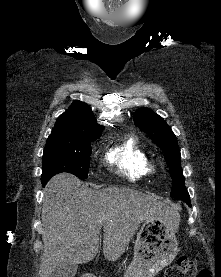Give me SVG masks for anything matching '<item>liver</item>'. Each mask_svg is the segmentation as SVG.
<instances>
[{"label": "liver", "mask_w": 221, "mask_h": 277, "mask_svg": "<svg viewBox=\"0 0 221 277\" xmlns=\"http://www.w3.org/2000/svg\"><path fill=\"white\" fill-rule=\"evenodd\" d=\"M43 257L40 277H49L63 262L92 261L103 234V254L116 261L140 224L150 218L171 216L163 202L125 187L93 190L68 173L52 177L43 191Z\"/></svg>", "instance_id": "1"}]
</instances>
